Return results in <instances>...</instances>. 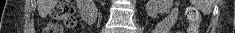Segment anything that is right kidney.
Returning <instances> with one entry per match:
<instances>
[{"label": "right kidney", "mask_w": 235, "mask_h": 33, "mask_svg": "<svg viewBox=\"0 0 235 33\" xmlns=\"http://www.w3.org/2000/svg\"><path fill=\"white\" fill-rule=\"evenodd\" d=\"M77 4H78V7H79V8H82V7L84 6V1H83V0H78V1H77ZM81 14L83 15V12H82V11H81ZM84 15H85V14H84ZM84 15H83V16H84ZM96 15H97V11L95 10L94 15H93V18H95Z\"/></svg>", "instance_id": "ca27d5eb"}]
</instances>
